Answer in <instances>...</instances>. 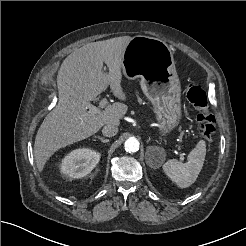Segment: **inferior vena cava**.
<instances>
[{
    "mask_svg": "<svg viewBox=\"0 0 246 246\" xmlns=\"http://www.w3.org/2000/svg\"><path fill=\"white\" fill-rule=\"evenodd\" d=\"M118 133V127L115 125H105L102 129V134L106 137H113Z\"/></svg>",
    "mask_w": 246,
    "mask_h": 246,
    "instance_id": "obj_1",
    "label": "inferior vena cava"
}]
</instances>
